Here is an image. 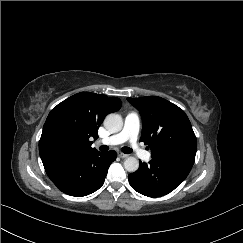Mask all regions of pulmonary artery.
Instances as JSON below:
<instances>
[{
  "label": "pulmonary artery",
  "mask_w": 243,
  "mask_h": 243,
  "mask_svg": "<svg viewBox=\"0 0 243 243\" xmlns=\"http://www.w3.org/2000/svg\"><path fill=\"white\" fill-rule=\"evenodd\" d=\"M140 130L139 115L135 112H130L126 115L123 129L112 136L100 139L98 143L106 145H120L129 141L136 155L143 161L147 162L151 159V153L141 148L138 143V134Z\"/></svg>",
  "instance_id": "obj_1"
}]
</instances>
